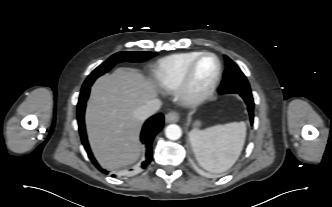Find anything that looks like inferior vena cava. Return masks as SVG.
Returning <instances> with one entry per match:
<instances>
[{
    "mask_svg": "<svg viewBox=\"0 0 332 207\" xmlns=\"http://www.w3.org/2000/svg\"><path fill=\"white\" fill-rule=\"evenodd\" d=\"M161 107L159 100H151L147 104L137 108L134 112L136 118L144 120L155 114Z\"/></svg>",
    "mask_w": 332,
    "mask_h": 207,
    "instance_id": "602c4592",
    "label": "inferior vena cava"
}]
</instances>
